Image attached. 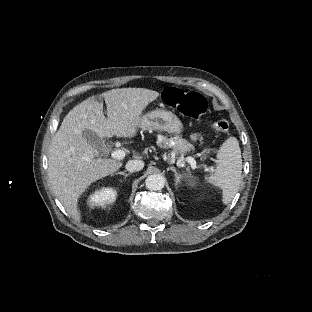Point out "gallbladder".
I'll return each mask as SVG.
<instances>
[{"instance_id": "bac80fb5", "label": "gallbladder", "mask_w": 312, "mask_h": 312, "mask_svg": "<svg viewBox=\"0 0 312 312\" xmlns=\"http://www.w3.org/2000/svg\"><path fill=\"white\" fill-rule=\"evenodd\" d=\"M84 137L88 142H91L97 150L104 152L106 150V145L103 140L93 131H86Z\"/></svg>"}]
</instances>
